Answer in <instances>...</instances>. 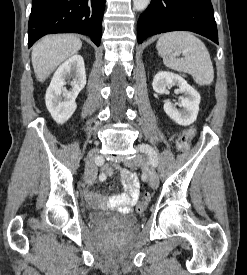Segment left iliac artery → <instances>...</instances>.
<instances>
[{"label": "left iliac artery", "instance_id": "1", "mask_svg": "<svg viewBox=\"0 0 247 275\" xmlns=\"http://www.w3.org/2000/svg\"><path fill=\"white\" fill-rule=\"evenodd\" d=\"M140 152L146 153L149 156V162L153 167H157L158 165V155L156 151L148 144H141L139 146Z\"/></svg>", "mask_w": 247, "mask_h": 275}]
</instances>
